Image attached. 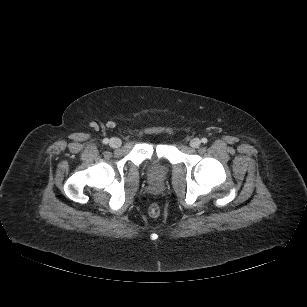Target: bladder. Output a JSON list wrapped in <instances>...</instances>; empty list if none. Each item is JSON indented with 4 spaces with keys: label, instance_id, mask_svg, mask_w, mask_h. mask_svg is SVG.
Returning a JSON list of instances; mask_svg holds the SVG:
<instances>
[{
    "label": "bladder",
    "instance_id": "bladder-1",
    "mask_svg": "<svg viewBox=\"0 0 307 307\" xmlns=\"http://www.w3.org/2000/svg\"><path fill=\"white\" fill-rule=\"evenodd\" d=\"M145 169L147 175L153 181H160L166 177L168 174V166L158 159H150L146 162Z\"/></svg>",
    "mask_w": 307,
    "mask_h": 307
}]
</instances>
